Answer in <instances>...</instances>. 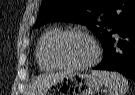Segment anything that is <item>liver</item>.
Returning <instances> with one entry per match:
<instances>
[{"mask_svg": "<svg viewBox=\"0 0 135 95\" xmlns=\"http://www.w3.org/2000/svg\"><path fill=\"white\" fill-rule=\"evenodd\" d=\"M67 75V73H51L43 74L33 81L31 89L29 91L30 95H39L44 91L48 86H50L55 81L61 79Z\"/></svg>", "mask_w": 135, "mask_h": 95, "instance_id": "liver-1", "label": "liver"}]
</instances>
